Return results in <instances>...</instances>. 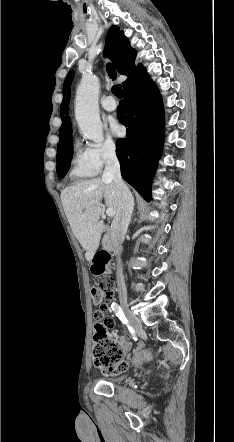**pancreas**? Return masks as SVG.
I'll return each instance as SVG.
<instances>
[{
	"label": "pancreas",
	"instance_id": "1",
	"mask_svg": "<svg viewBox=\"0 0 234 442\" xmlns=\"http://www.w3.org/2000/svg\"><path fill=\"white\" fill-rule=\"evenodd\" d=\"M107 238H108V237H106V238H105V240H103V245H104V247H106V246H107V241H106V240H107Z\"/></svg>",
	"mask_w": 234,
	"mask_h": 442
}]
</instances>
